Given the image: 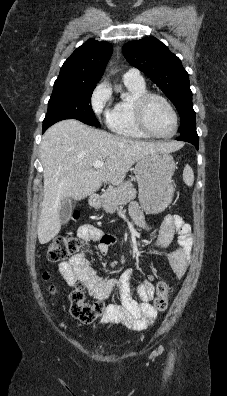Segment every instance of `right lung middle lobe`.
Instances as JSON below:
<instances>
[{
    "mask_svg": "<svg viewBox=\"0 0 227 396\" xmlns=\"http://www.w3.org/2000/svg\"><path fill=\"white\" fill-rule=\"evenodd\" d=\"M98 81L60 78L55 81L44 120L59 117L77 119L91 126H100L91 107V96Z\"/></svg>",
    "mask_w": 227,
    "mask_h": 396,
    "instance_id": "1",
    "label": "right lung middle lobe"
}]
</instances>
